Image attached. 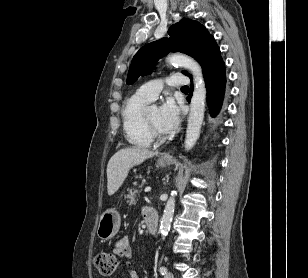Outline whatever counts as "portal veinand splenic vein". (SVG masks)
I'll use <instances>...</instances> for the list:
<instances>
[{"instance_id": "portal-vein-and-splenic-vein-1", "label": "portal vein and splenic vein", "mask_w": 308, "mask_h": 278, "mask_svg": "<svg viewBox=\"0 0 308 278\" xmlns=\"http://www.w3.org/2000/svg\"><path fill=\"white\" fill-rule=\"evenodd\" d=\"M149 191H151V187H146L145 192H149Z\"/></svg>"}]
</instances>
